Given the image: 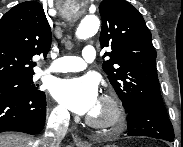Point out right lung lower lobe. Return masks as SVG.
<instances>
[{"mask_svg":"<svg viewBox=\"0 0 183 147\" xmlns=\"http://www.w3.org/2000/svg\"><path fill=\"white\" fill-rule=\"evenodd\" d=\"M46 99L42 91L0 94V132L39 133L45 124Z\"/></svg>","mask_w":183,"mask_h":147,"instance_id":"right-lung-lower-lobe-1","label":"right lung lower lobe"}]
</instances>
